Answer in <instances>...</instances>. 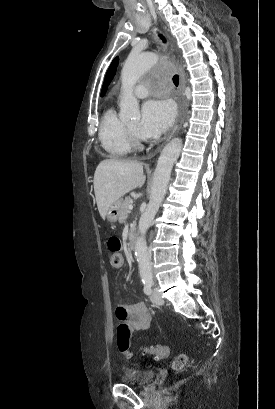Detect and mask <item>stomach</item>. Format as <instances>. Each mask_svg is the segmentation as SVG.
<instances>
[{"label":"stomach","instance_id":"stomach-1","mask_svg":"<svg viewBox=\"0 0 275 409\" xmlns=\"http://www.w3.org/2000/svg\"><path fill=\"white\" fill-rule=\"evenodd\" d=\"M123 198H118L115 202H112L111 207L107 211V221L109 223H117L122 207Z\"/></svg>","mask_w":275,"mask_h":409}]
</instances>
